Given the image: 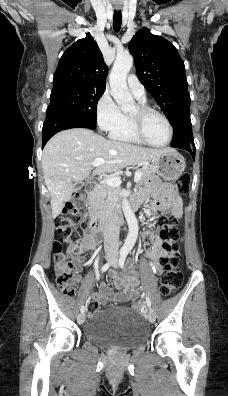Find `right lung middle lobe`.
Returning a JSON list of instances; mask_svg holds the SVG:
<instances>
[{
	"mask_svg": "<svg viewBox=\"0 0 228 396\" xmlns=\"http://www.w3.org/2000/svg\"><path fill=\"white\" fill-rule=\"evenodd\" d=\"M104 91L75 84L53 86L47 110L60 109L96 124L97 103Z\"/></svg>",
	"mask_w": 228,
	"mask_h": 396,
	"instance_id": "obj_1",
	"label": "right lung middle lobe"
}]
</instances>
